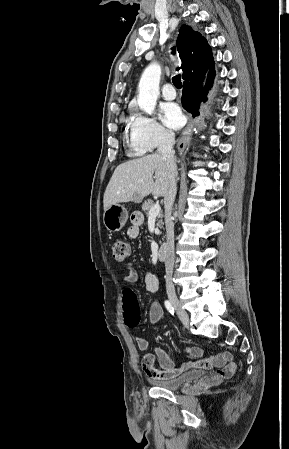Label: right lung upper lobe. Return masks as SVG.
Returning a JSON list of instances; mask_svg holds the SVG:
<instances>
[{"mask_svg":"<svg viewBox=\"0 0 289 449\" xmlns=\"http://www.w3.org/2000/svg\"><path fill=\"white\" fill-rule=\"evenodd\" d=\"M177 46L182 60V66L177 70L182 69L185 82L203 77L213 66V54L207 40L190 26H181Z\"/></svg>","mask_w":289,"mask_h":449,"instance_id":"1","label":"right lung upper lobe"}]
</instances>
